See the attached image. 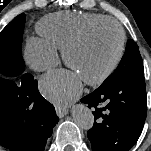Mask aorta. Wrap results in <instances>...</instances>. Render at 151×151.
<instances>
[{"label": "aorta", "mask_w": 151, "mask_h": 151, "mask_svg": "<svg viewBox=\"0 0 151 151\" xmlns=\"http://www.w3.org/2000/svg\"><path fill=\"white\" fill-rule=\"evenodd\" d=\"M71 115L73 117L74 122L81 129L89 130L93 127L94 116L87 106L83 104L74 105L71 109Z\"/></svg>", "instance_id": "aorta-1"}]
</instances>
